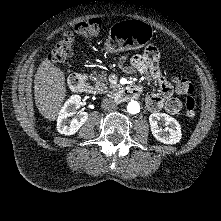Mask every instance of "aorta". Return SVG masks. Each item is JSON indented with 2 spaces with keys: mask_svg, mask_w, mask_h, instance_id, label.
<instances>
[{
  "mask_svg": "<svg viewBox=\"0 0 221 221\" xmlns=\"http://www.w3.org/2000/svg\"><path fill=\"white\" fill-rule=\"evenodd\" d=\"M127 111L131 114H138L140 112V104L137 101L131 100L127 104Z\"/></svg>",
  "mask_w": 221,
  "mask_h": 221,
  "instance_id": "aorta-1",
  "label": "aorta"
}]
</instances>
